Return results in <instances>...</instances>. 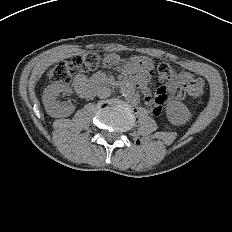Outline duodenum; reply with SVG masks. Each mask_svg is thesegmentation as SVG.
Returning a JSON list of instances; mask_svg holds the SVG:
<instances>
[{"label":"duodenum","instance_id":"410a0bca","mask_svg":"<svg viewBox=\"0 0 232 232\" xmlns=\"http://www.w3.org/2000/svg\"><path fill=\"white\" fill-rule=\"evenodd\" d=\"M121 84H129L133 86L140 87L143 91L146 89V82L140 81L137 78H129L127 81L122 82ZM77 92L84 98H91L94 95L95 89L93 84L84 81L76 87Z\"/></svg>","mask_w":232,"mask_h":232}]
</instances>
